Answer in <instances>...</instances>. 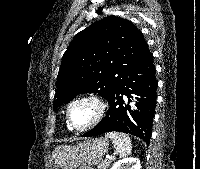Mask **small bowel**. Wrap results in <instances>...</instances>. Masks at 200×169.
Segmentation results:
<instances>
[{
	"mask_svg": "<svg viewBox=\"0 0 200 169\" xmlns=\"http://www.w3.org/2000/svg\"><path fill=\"white\" fill-rule=\"evenodd\" d=\"M80 169H92V168H89V167H83V168H80Z\"/></svg>",
	"mask_w": 200,
	"mask_h": 169,
	"instance_id": "small-bowel-1",
	"label": "small bowel"
}]
</instances>
